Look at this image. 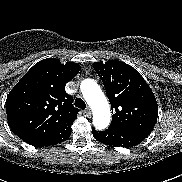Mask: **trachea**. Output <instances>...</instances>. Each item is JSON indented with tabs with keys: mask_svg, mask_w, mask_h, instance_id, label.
I'll return each mask as SVG.
<instances>
[{
	"mask_svg": "<svg viewBox=\"0 0 182 182\" xmlns=\"http://www.w3.org/2000/svg\"><path fill=\"white\" fill-rule=\"evenodd\" d=\"M74 104L77 108H80L82 110L86 108V104L82 98H77Z\"/></svg>",
	"mask_w": 182,
	"mask_h": 182,
	"instance_id": "trachea-1",
	"label": "trachea"
}]
</instances>
